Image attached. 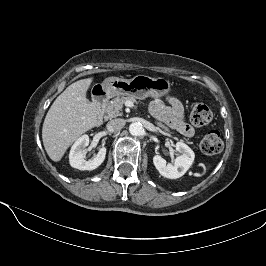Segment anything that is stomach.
<instances>
[{"instance_id":"obj_1","label":"stomach","mask_w":266,"mask_h":266,"mask_svg":"<svg viewBox=\"0 0 266 266\" xmlns=\"http://www.w3.org/2000/svg\"><path fill=\"white\" fill-rule=\"evenodd\" d=\"M102 88L109 97L130 95L142 100L167 95L171 91V83L165 78H152L146 75H137L129 80L109 77L103 81Z\"/></svg>"}]
</instances>
